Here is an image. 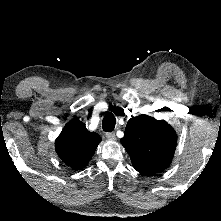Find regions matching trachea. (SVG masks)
Here are the masks:
<instances>
[{
	"mask_svg": "<svg viewBox=\"0 0 221 221\" xmlns=\"http://www.w3.org/2000/svg\"><path fill=\"white\" fill-rule=\"evenodd\" d=\"M116 124V119L113 114H107L102 121V128L106 132H111L114 130Z\"/></svg>",
	"mask_w": 221,
	"mask_h": 221,
	"instance_id": "trachea-1",
	"label": "trachea"
}]
</instances>
